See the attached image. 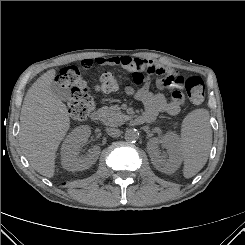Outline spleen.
Here are the masks:
<instances>
[{"label": "spleen", "instance_id": "spleen-1", "mask_svg": "<svg viewBox=\"0 0 245 245\" xmlns=\"http://www.w3.org/2000/svg\"><path fill=\"white\" fill-rule=\"evenodd\" d=\"M180 142L183 174L185 178H191L206 164L212 144L209 112L206 109L193 110L184 118Z\"/></svg>", "mask_w": 245, "mask_h": 245}]
</instances>
